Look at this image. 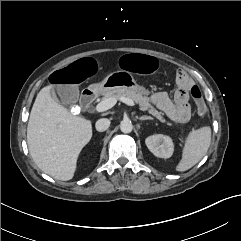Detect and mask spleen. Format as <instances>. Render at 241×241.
Listing matches in <instances>:
<instances>
[{"mask_svg": "<svg viewBox=\"0 0 241 241\" xmlns=\"http://www.w3.org/2000/svg\"><path fill=\"white\" fill-rule=\"evenodd\" d=\"M211 144V128L204 126L193 129L185 140L182 158L176 166V171L184 172L197 164L207 153Z\"/></svg>", "mask_w": 241, "mask_h": 241, "instance_id": "3e777b00", "label": "spleen"}]
</instances>
